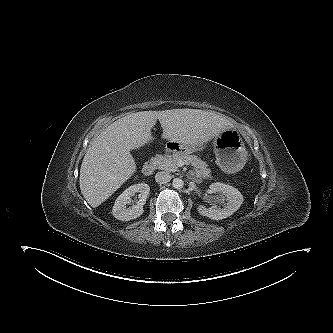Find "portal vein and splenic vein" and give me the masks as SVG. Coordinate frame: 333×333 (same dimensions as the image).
Segmentation results:
<instances>
[{
	"label": "portal vein and splenic vein",
	"mask_w": 333,
	"mask_h": 333,
	"mask_svg": "<svg viewBox=\"0 0 333 333\" xmlns=\"http://www.w3.org/2000/svg\"><path fill=\"white\" fill-rule=\"evenodd\" d=\"M179 165H183V163H182V162H179Z\"/></svg>",
	"instance_id": "18ae733b"
}]
</instances>
